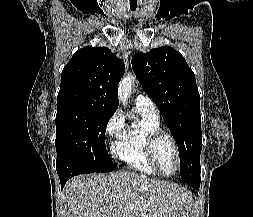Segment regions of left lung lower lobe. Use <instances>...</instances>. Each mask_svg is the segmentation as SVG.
Here are the masks:
<instances>
[{"mask_svg":"<svg viewBox=\"0 0 253 217\" xmlns=\"http://www.w3.org/2000/svg\"><path fill=\"white\" fill-rule=\"evenodd\" d=\"M191 187H193L194 189H199L200 186V181H196V182H192L189 184Z\"/></svg>","mask_w":253,"mask_h":217,"instance_id":"left-lung-lower-lobe-1","label":"left lung lower lobe"}]
</instances>
